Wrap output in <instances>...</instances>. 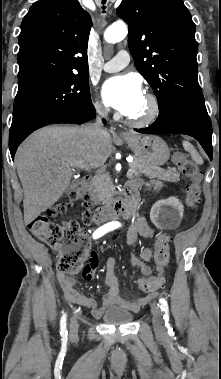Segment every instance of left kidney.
<instances>
[{
	"label": "left kidney",
	"instance_id": "1",
	"mask_svg": "<svg viewBox=\"0 0 221 379\" xmlns=\"http://www.w3.org/2000/svg\"><path fill=\"white\" fill-rule=\"evenodd\" d=\"M184 207L176 197L157 201L151 208L150 218L153 224L162 229L176 228L183 217Z\"/></svg>",
	"mask_w": 221,
	"mask_h": 379
}]
</instances>
